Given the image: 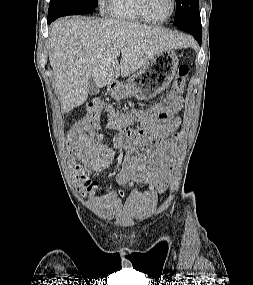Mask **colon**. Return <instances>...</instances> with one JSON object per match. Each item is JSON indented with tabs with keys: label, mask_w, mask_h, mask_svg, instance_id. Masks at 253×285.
Segmentation results:
<instances>
[{
	"label": "colon",
	"mask_w": 253,
	"mask_h": 285,
	"mask_svg": "<svg viewBox=\"0 0 253 285\" xmlns=\"http://www.w3.org/2000/svg\"><path fill=\"white\" fill-rule=\"evenodd\" d=\"M189 75V67L186 64H181L177 69V74L173 83L170 98L179 95L185 85L186 79ZM107 128L129 127L138 123L141 115L138 113L127 112L117 113L112 110L107 111ZM102 120L101 103L93 102L89 105L88 112L84 118L79 122V126H71L67 130V145H70L69 150L66 151L67 162L69 167L65 168L66 172H70L75 180H80V189L84 193H92L101 190L99 185L95 182L88 181L89 172L93 167V158H89L90 154L85 153V148H92L94 141H98V136H88L91 130L99 128ZM77 155L79 158H77ZM84 163H88L85 167Z\"/></svg>",
	"instance_id": "5ec220e1"
}]
</instances>
